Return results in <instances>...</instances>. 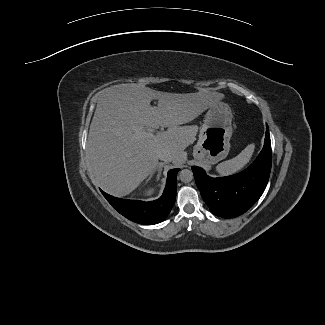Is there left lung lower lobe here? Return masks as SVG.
<instances>
[{
	"mask_svg": "<svg viewBox=\"0 0 325 325\" xmlns=\"http://www.w3.org/2000/svg\"><path fill=\"white\" fill-rule=\"evenodd\" d=\"M272 163L271 141L266 125L265 143L256 160L244 171L227 177L212 178L192 166L203 200L212 214L233 218L245 213L263 194Z\"/></svg>",
	"mask_w": 325,
	"mask_h": 325,
	"instance_id": "left-lung-lower-lobe-1",
	"label": "left lung lower lobe"
}]
</instances>
